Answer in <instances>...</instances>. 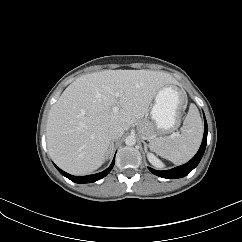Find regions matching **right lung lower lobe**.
Masks as SVG:
<instances>
[{
	"instance_id": "right-lung-lower-lobe-1",
	"label": "right lung lower lobe",
	"mask_w": 242,
	"mask_h": 242,
	"mask_svg": "<svg viewBox=\"0 0 242 242\" xmlns=\"http://www.w3.org/2000/svg\"><path fill=\"white\" fill-rule=\"evenodd\" d=\"M114 162H115V160H113L111 165L103 172L93 174V175H87V176H73V175H70V174L62 171L56 165H55V167L58 169V171L62 175H64L65 177H67L68 179H70L71 181H73L75 183H91V182H95V181L100 180L103 177H105L112 170V168L114 166Z\"/></svg>"
}]
</instances>
